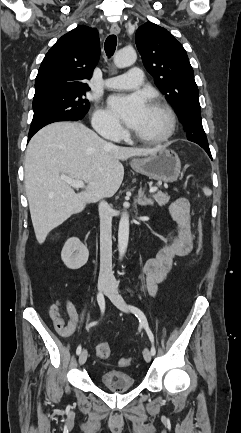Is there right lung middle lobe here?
<instances>
[{
  "label": "right lung middle lobe",
  "mask_w": 241,
  "mask_h": 433,
  "mask_svg": "<svg viewBox=\"0 0 241 433\" xmlns=\"http://www.w3.org/2000/svg\"><path fill=\"white\" fill-rule=\"evenodd\" d=\"M85 93H50L33 99V120L29 133L57 121L80 120L89 109Z\"/></svg>",
  "instance_id": "dd1d6c3e"
}]
</instances>
